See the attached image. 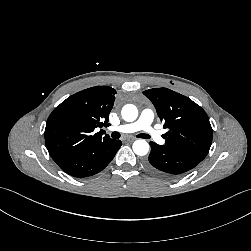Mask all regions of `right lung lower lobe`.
I'll list each match as a JSON object with an SVG mask.
<instances>
[{"label": "right lung lower lobe", "instance_id": "right-lung-lower-lobe-1", "mask_svg": "<svg viewBox=\"0 0 251 251\" xmlns=\"http://www.w3.org/2000/svg\"><path fill=\"white\" fill-rule=\"evenodd\" d=\"M121 145L120 140L113 139L91 145L58 165L64 172L77 178L92 176L112 161Z\"/></svg>", "mask_w": 251, "mask_h": 251}]
</instances>
